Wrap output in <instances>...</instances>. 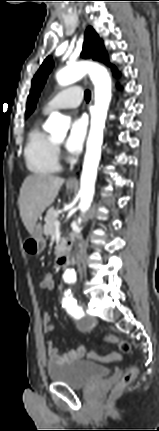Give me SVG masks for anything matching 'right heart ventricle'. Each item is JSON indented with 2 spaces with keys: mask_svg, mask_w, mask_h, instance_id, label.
I'll list each match as a JSON object with an SVG mask.
<instances>
[{
  "mask_svg": "<svg viewBox=\"0 0 159 431\" xmlns=\"http://www.w3.org/2000/svg\"><path fill=\"white\" fill-rule=\"evenodd\" d=\"M24 159L28 170L35 174L50 175L60 170L57 147L39 125L27 135Z\"/></svg>",
  "mask_w": 159,
  "mask_h": 431,
  "instance_id": "right-heart-ventricle-1",
  "label": "right heart ventricle"
}]
</instances>
